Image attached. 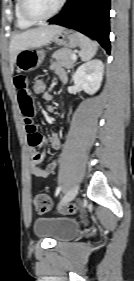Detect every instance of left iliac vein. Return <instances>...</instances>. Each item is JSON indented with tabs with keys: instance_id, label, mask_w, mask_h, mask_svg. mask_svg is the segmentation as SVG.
Masks as SVG:
<instances>
[{
	"instance_id": "obj_1",
	"label": "left iliac vein",
	"mask_w": 134,
	"mask_h": 281,
	"mask_svg": "<svg viewBox=\"0 0 134 281\" xmlns=\"http://www.w3.org/2000/svg\"><path fill=\"white\" fill-rule=\"evenodd\" d=\"M78 191H79V185L76 184L68 191V193L62 199V201L60 202V207L65 206L70 201H72L75 198V196L78 194Z\"/></svg>"
}]
</instances>
